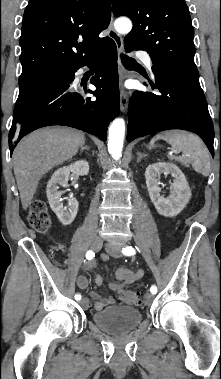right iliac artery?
I'll list each match as a JSON object with an SVG mask.
<instances>
[{
	"instance_id": "82829eb1",
	"label": "right iliac artery",
	"mask_w": 221,
	"mask_h": 379,
	"mask_svg": "<svg viewBox=\"0 0 221 379\" xmlns=\"http://www.w3.org/2000/svg\"><path fill=\"white\" fill-rule=\"evenodd\" d=\"M94 256H95V253H94L92 250L87 251V253H86V258H87L88 260L93 259ZM75 299H76L77 301H79V300L81 299V295H80L79 293L76 294V295H75Z\"/></svg>"
}]
</instances>
